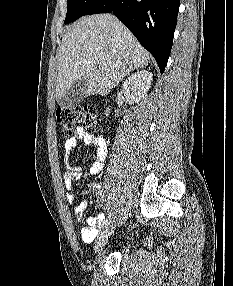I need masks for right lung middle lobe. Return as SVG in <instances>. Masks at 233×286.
Instances as JSON below:
<instances>
[{"label":"right lung middle lobe","mask_w":233,"mask_h":286,"mask_svg":"<svg viewBox=\"0 0 233 286\" xmlns=\"http://www.w3.org/2000/svg\"><path fill=\"white\" fill-rule=\"evenodd\" d=\"M67 14L65 18V24L71 23L85 13L98 1V0H67Z\"/></svg>","instance_id":"1"}]
</instances>
